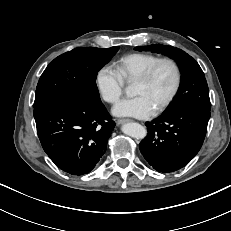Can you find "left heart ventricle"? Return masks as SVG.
Wrapping results in <instances>:
<instances>
[{
    "label": "left heart ventricle",
    "instance_id": "b2bd125f",
    "mask_svg": "<svg viewBox=\"0 0 231 231\" xmlns=\"http://www.w3.org/2000/svg\"><path fill=\"white\" fill-rule=\"evenodd\" d=\"M175 82V72L170 64L161 65L153 78L146 83L135 82L134 95L145 96L156 109L169 95Z\"/></svg>",
    "mask_w": 231,
    "mask_h": 231
}]
</instances>
